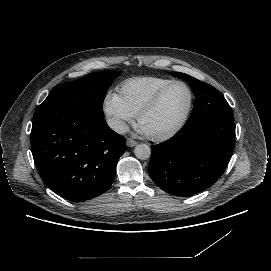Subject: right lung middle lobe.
I'll use <instances>...</instances> for the list:
<instances>
[{"label": "right lung middle lobe", "instance_id": "1", "mask_svg": "<svg viewBox=\"0 0 271 271\" xmlns=\"http://www.w3.org/2000/svg\"><path fill=\"white\" fill-rule=\"evenodd\" d=\"M119 71H101L56 87L36 109L33 120L51 113L95 114L103 118V100Z\"/></svg>", "mask_w": 271, "mask_h": 271}]
</instances>
